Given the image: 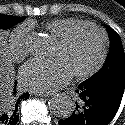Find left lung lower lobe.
Masks as SVG:
<instances>
[{"label":"left lung lower lobe","mask_w":125,"mask_h":125,"mask_svg":"<svg viewBox=\"0 0 125 125\" xmlns=\"http://www.w3.org/2000/svg\"><path fill=\"white\" fill-rule=\"evenodd\" d=\"M125 88V79L88 87L83 82L75 90L76 110L59 125H107L116 115Z\"/></svg>","instance_id":"obj_1"}]
</instances>
